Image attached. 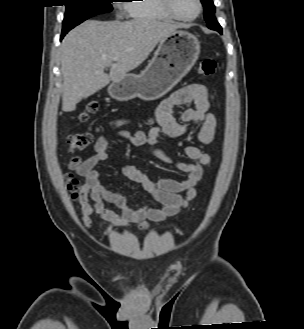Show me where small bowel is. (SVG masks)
Returning <instances> with one entry per match:
<instances>
[{
    "label": "small bowel",
    "mask_w": 304,
    "mask_h": 329,
    "mask_svg": "<svg viewBox=\"0 0 304 329\" xmlns=\"http://www.w3.org/2000/svg\"><path fill=\"white\" fill-rule=\"evenodd\" d=\"M193 102L194 107L186 109L181 119L173 115L176 106ZM214 96L202 84H191L180 88L164 99L156 109L155 116L158 126L149 132L137 131L131 133L123 127L130 125V120L120 118L110 122L109 127L117 130V136L125 139L136 146H147L161 160L183 173L186 178L177 180L172 178H161L157 181L151 180L148 173L133 165L123 168V174L130 180L138 183L147 196L152 197L162 205L161 208L144 206L132 209L128 204L127 196L121 191L108 189L101 177L97 166L109 158L108 146L111 137L100 136L94 145V154L86 160L74 156L70 161V168L85 178L77 197L81 219L84 225L92 226L91 214L96 213L101 218L98 229L103 226L131 227L137 224L140 229H146L150 223H159L177 214L186 207L196 196V187L200 182L204 168L210 163V156L194 145L185 147L188 161H174L157 147L160 135L171 138H180L189 133L185 123L199 125L193 133L202 144L213 141L217 121L212 108ZM185 192V195H181ZM105 202L114 204L119 213L107 209Z\"/></svg>",
    "instance_id": "obj_1"
}]
</instances>
